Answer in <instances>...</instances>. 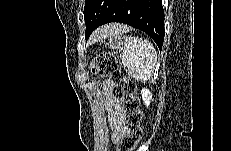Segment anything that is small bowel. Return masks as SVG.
Instances as JSON below:
<instances>
[{
	"mask_svg": "<svg viewBox=\"0 0 231 151\" xmlns=\"http://www.w3.org/2000/svg\"><path fill=\"white\" fill-rule=\"evenodd\" d=\"M111 82H105V88L108 91L106 105L109 112V121L113 130L112 140L118 142L120 137L126 132V124L118 100L110 93Z\"/></svg>",
	"mask_w": 231,
	"mask_h": 151,
	"instance_id": "obj_1",
	"label": "small bowel"
}]
</instances>
